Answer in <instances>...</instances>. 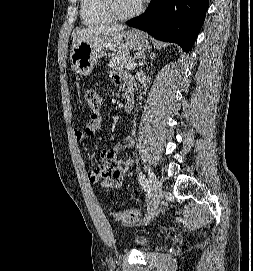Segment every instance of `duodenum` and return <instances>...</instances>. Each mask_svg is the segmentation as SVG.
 Wrapping results in <instances>:
<instances>
[{
  "label": "duodenum",
  "mask_w": 253,
  "mask_h": 271,
  "mask_svg": "<svg viewBox=\"0 0 253 271\" xmlns=\"http://www.w3.org/2000/svg\"><path fill=\"white\" fill-rule=\"evenodd\" d=\"M135 104L134 93L132 91H126L125 93V102H124V111L130 112L133 110Z\"/></svg>",
  "instance_id": "410a0bca"
}]
</instances>
